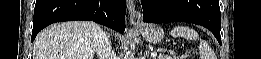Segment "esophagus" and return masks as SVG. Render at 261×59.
<instances>
[{
	"mask_svg": "<svg viewBox=\"0 0 261 59\" xmlns=\"http://www.w3.org/2000/svg\"><path fill=\"white\" fill-rule=\"evenodd\" d=\"M127 9H128V12H129L131 25H134V26L139 25L141 23L142 15L136 9L135 3H134L133 0H127Z\"/></svg>",
	"mask_w": 261,
	"mask_h": 59,
	"instance_id": "obj_1",
	"label": "esophagus"
}]
</instances>
